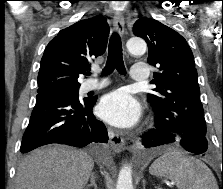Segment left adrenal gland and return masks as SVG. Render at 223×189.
I'll return each instance as SVG.
<instances>
[{"mask_svg": "<svg viewBox=\"0 0 223 189\" xmlns=\"http://www.w3.org/2000/svg\"><path fill=\"white\" fill-rule=\"evenodd\" d=\"M143 189H145V182H143Z\"/></svg>", "mask_w": 223, "mask_h": 189, "instance_id": "obj_1", "label": "left adrenal gland"}]
</instances>
